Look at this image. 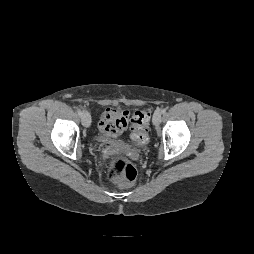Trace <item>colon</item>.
I'll use <instances>...</instances> for the list:
<instances>
[{
	"label": "colon",
	"instance_id": "colon-1",
	"mask_svg": "<svg viewBox=\"0 0 254 254\" xmlns=\"http://www.w3.org/2000/svg\"><path fill=\"white\" fill-rule=\"evenodd\" d=\"M151 112L150 108L139 109L131 118V136L137 144L142 145L148 141ZM107 176L118 184L128 186L136 180L137 169L131 162L115 157L108 162Z\"/></svg>",
	"mask_w": 254,
	"mask_h": 254
}]
</instances>
